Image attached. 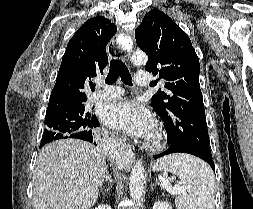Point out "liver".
<instances>
[{"label":"liver","mask_w":253,"mask_h":209,"mask_svg":"<svg viewBox=\"0 0 253 209\" xmlns=\"http://www.w3.org/2000/svg\"><path fill=\"white\" fill-rule=\"evenodd\" d=\"M106 168L104 153L86 141L62 139L46 145L34 169V209H90Z\"/></svg>","instance_id":"liver-1"}]
</instances>
